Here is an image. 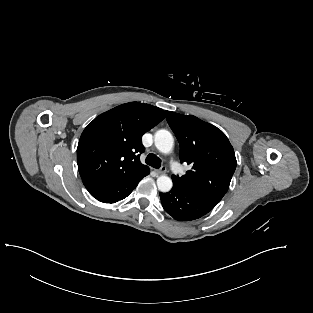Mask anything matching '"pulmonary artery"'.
<instances>
[{"label":"pulmonary artery","mask_w":313,"mask_h":313,"mask_svg":"<svg viewBox=\"0 0 313 313\" xmlns=\"http://www.w3.org/2000/svg\"><path fill=\"white\" fill-rule=\"evenodd\" d=\"M171 166H172V170L174 173H176V174L180 173V166L177 162H175V161L172 162Z\"/></svg>","instance_id":"e3ab8cb5"}]
</instances>
